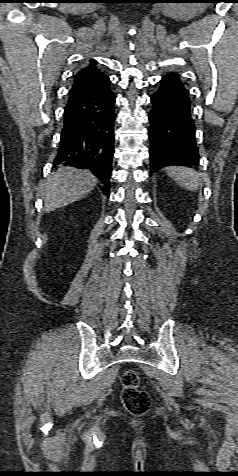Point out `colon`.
I'll list each match as a JSON object with an SVG mask.
<instances>
[{"mask_svg":"<svg viewBox=\"0 0 238 476\" xmlns=\"http://www.w3.org/2000/svg\"><path fill=\"white\" fill-rule=\"evenodd\" d=\"M122 402L134 416L145 414L151 405L149 394L140 389V378L136 370L128 369L121 376Z\"/></svg>","mask_w":238,"mask_h":476,"instance_id":"obj_1","label":"colon"}]
</instances>
